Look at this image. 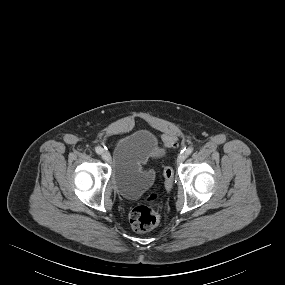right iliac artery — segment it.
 I'll list each match as a JSON object with an SVG mask.
<instances>
[{"mask_svg":"<svg viewBox=\"0 0 285 285\" xmlns=\"http://www.w3.org/2000/svg\"><path fill=\"white\" fill-rule=\"evenodd\" d=\"M95 151H96L97 154H102L103 148L98 146V147L95 148Z\"/></svg>","mask_w":285,"mask_h":285,"instance_id":"82829eb1","label":"right iliac artery"}]
</instances>
